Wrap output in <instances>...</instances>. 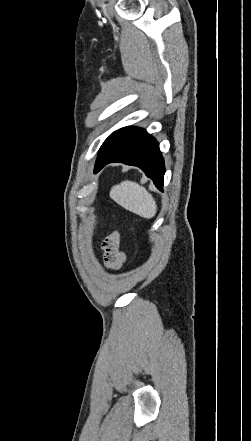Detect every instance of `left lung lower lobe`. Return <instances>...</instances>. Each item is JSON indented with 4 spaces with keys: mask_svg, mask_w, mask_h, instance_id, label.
Wrapping results in <instances>:
<instances>
[{
    "mask_svg": "<svg viewBox=\"0 0 251 441\" xmlns=\"http://www.w3.org/2000/svg\"><path fill=\"white\" fill-rule=\"evenodd\" d=\"M111 162H121L141 168L162 190L165 173L159 144L144 129L124 127L112 133L100 147L95 172Z\"/></svg>",
    "mask_w": 251,
    "mask_h": 441,
    "instance_id": "0a47b994",
    "label": "left lung lower lobe"
}]
</instances>
